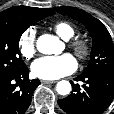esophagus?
Segmentation results:
<instances>
[{
  "label": "esophagus",
  "instance_id": "34e87169",
  "mask_svg": "<svg viewBox=\"0 0 114 114\" xmlns=\"http://www.w3.org/2000/svg\"><path fill=\"white\" fill-rule=\"evenodd\" d=\"M41 83H43V84H53V83H55V81H51V80H41Z\"/></svg>",
  "mask_w": 114,
  "mask_h": 114
}]
</instances>
